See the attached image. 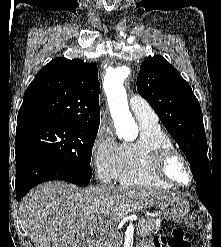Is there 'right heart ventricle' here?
<instances>
[{
  "instance_id": "obj_1",
  "label": "right heart ventricle",
  "mask_w": 221,
  "mask_h": 247,
  "mask_svg": "<svg viewBox=\"0 0 221 247\" xmlns=\"http://www.w3.org/2000/svg\"><path fill=\"white\" fill-rule=\"evenodd\" d=\"M140 128L141 134L136 142L121 145L116 180L124 186L174 188L152 172L149 162L150 153L158 146L174 147L170 137L158 124L141 123Z\"/></svg>"
}]
</instances>
